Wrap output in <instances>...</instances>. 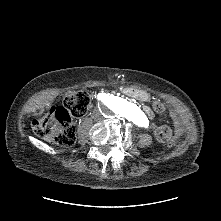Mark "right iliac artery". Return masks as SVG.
<instances>
[{
    "mask_svg": "<svg viewBox=\"0 0 221 221\" xmlns=\"http://www.w3.org/2000/svg\"><path fill=\"white\" fill-rule=\"evenodd\" d=\"M98 99L101 100V101H104L106 99L105 94H103V95L99 94Z\"/></svg>",
    "mask_w": 221,
    "mask_h": 221,
    "instance_id": "right-iliac-artery-1",
    "label": "right iliac artery"
}]
</instances>
